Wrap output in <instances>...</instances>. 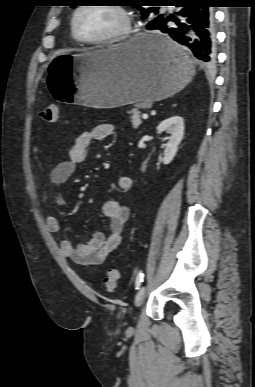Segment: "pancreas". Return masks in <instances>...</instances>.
Returning <instances> with one entry per match:
<instances>
[{
  "mask_svg": "<svg viewBox=\"0 0 255 387\" xmlns=\"http://www.w3.org/2000/svg\"><path fill=\"white\" fill-rule=\"evenodd\" d=\"M130 113H131V123L133 128H138L142 123V120L140 119L139 110L137 108H133Z\"/></svg>",
  "mask_w": 255,
  "mask_h": 387,
  "instance_id": "1",
  "label": "pancreas"
}]
</instances>
